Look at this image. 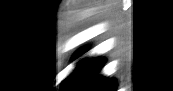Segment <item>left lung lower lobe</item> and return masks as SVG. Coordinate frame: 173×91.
I'll return each instance as SVG.
<instances>
[{
  "mask_svg": "<svg viewBox=\"0 0 173 91\" xmlns=\"http://www.w3.org/2000/svg\"><path fill=\"white\" fill-rule=\"evenodd\" d=\"M103 63V59L82 61L75 71L63 80L61 89L63 91H114L116 87L114 80L97 76Z\"/></svg>",
  "mask_w": 173,
  "mask_h": 91,
  "instance_id": "1",
  "label": "left lung lower lobe"
}]
</instances>
